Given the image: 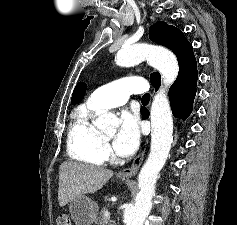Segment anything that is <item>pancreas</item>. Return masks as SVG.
<instances>
[{
	"label": "pancreas",
	"instance_id": "1",
	"mask_svg": "<svg viewBox=\"0 0 237 225\" xmlns=\"http://www.w3.org/2000/svg\"><path fill=\"white\" fill-rule=\"evenodd\" d=\"M96 225H105L107 223L108 225H114L113 222H110L109 218H106L104 216V210L102 209L100 211V214L98 218L95 220Z\"/></svg>",
	"mask_w": 237,
	"mask_h": 225
}]
</instances>
